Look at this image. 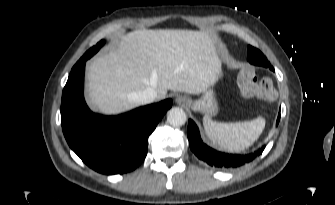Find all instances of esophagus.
<instances>
[{
	"label": "esophagus",
	"mask_w": 335,
	"mask_h": 205,
	"mask_svg": "<svg viewBox=\"0 0 335 205\" xmlns=\"http://www.w3.org/2000/svg\"><path fill=\"white\" fill-rule=\"evenodd\" d=\"M175 101H176L177 103H183V102H185V99L182 98V97H176Z\"/></svg>",
	"instance_id": "1"
}]
</instances>
